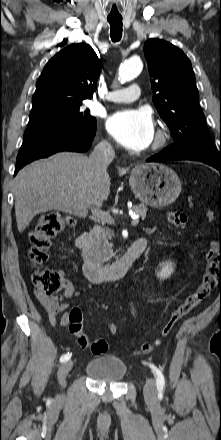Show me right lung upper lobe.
<instances>
[{
    "label": "right lung upper lobe",
    "instance_id": "obj_1",
    "mask_svg": "<svg viewBox=\"0 0 221 440\" xmlns=\"http://www.w3.org/2000/svg\"><path fill=\"white\" fill-rule=\"evenodd\" d=\"M100 71L101 61L90 45L78 43L64 48L44 67L33 95V108L51 103L78 104L92 98Z\"/></svg>",
    "mask_w": 221,
    "mask_h": 440
}]
</instances>
